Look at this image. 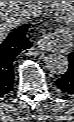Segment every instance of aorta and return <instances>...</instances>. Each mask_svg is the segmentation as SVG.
<instances>
[{
    "mask_svg": "<svg viewBox=\"0 0 74 122\" xmlns=\"http://www.w3.org/2000/svg\"><path fill=\"white\" fill-rule=\"evenodd\" d=\"M68 58L62 54H51L46 59L47 69L56 75H63L68 71Z\"/></svg>",
    "mask_w": 74,
    "mask_h": 122,
    "instance_id": "762f6f07",
    "label": "aorta"
}]
</instances>
